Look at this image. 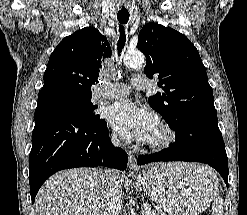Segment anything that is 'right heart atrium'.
<instances>
[{"label":"right heart atrium","instance_id":"d8ad5b80","mask_svg":"<svg viewBox=\"0 0 247 215\" xmlns=\"http://www.w3.org/2000/svg\"><path fill=\"white\" fill-rule=\"evenodd\" d=\"M111 141L116 146H119L121 144V140L116 134H111Z\"/></svg>","mask_w":247,"mask_h":215}]
</instances>
